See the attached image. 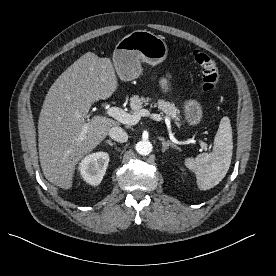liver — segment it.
Segmentation results:
<instances>
[{"label":"liver","mask_w":276,"mask_h":276,"mask_svg":"<svg viewBox=\"0 0 276 276\" xmlns=\"http://www.w3.org/2000/svg\"><path fill=\"white\" fill-rule=\"evenodd\" d=\"M117 88L110 59L92 52L82 55L52 84L38 120L40 165L49 182L71 188L78 162L119 124L103 116L85 120L91 105L109 98Z\"/></svg>","instance_id":"liver-1"}]
</instances>
